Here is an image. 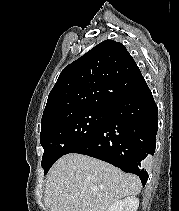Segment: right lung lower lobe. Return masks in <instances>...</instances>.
Listing matches in <instances>:
<instances>
[{
  "mask_svg": "<svg viewBox=\"0 0 179 211\" xmlns=\"http://www.w3.org/2000/svg\"><path fill=\"white\" fill-rule=\"evenodd\" d=\"M157 106L145 80L114 103L99 131L72 153L108 162L148 180L146 164L155 152Z\"/></svg>",
  "mask_w": 179,
  "mask_h": 211,
  "instance_id": "obj_1",
  "label": "right lung lower lobe"
}]
</instances>
